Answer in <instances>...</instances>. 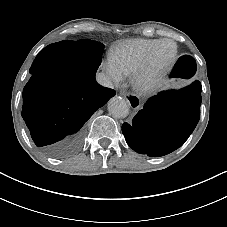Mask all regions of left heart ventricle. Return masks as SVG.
Returning a JSON list of instances; mask_svg holds the SVG:
<instances>
[{
    "instance_id": "1",
    "label": "left heart ventricle",
    "mask_w": 227,
    "mask_h": 227,
    "mask_svg": "<svg viewBox=\"0 0 227 227\" xmlns=\"http://www.w3.org/2000/svg\"><path fill=\"white\" fill-rule=\"evenodd\" d=\"M174 53V46L171 43L163 44L157 54L156 62L151 72L149 73L150 77L155 76L160 69L165 65V63L170 59Z\"/></svg>"
}]
</instances>
